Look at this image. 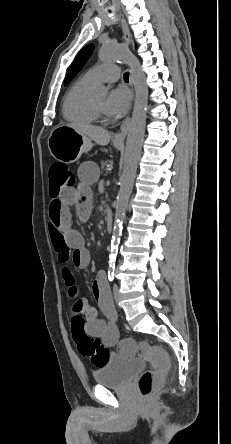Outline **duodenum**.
Returning a JSON list of instances; mask_svg holds the SVG:
<instances>
[{
  "label": "duodenum",
  "mask_w": 231,
  "mask_h": 444,
  "mask_svg": "<svg viewBox=\"0 0 231 444\" xmlns=\"http://www.w3.org/2000/svg\"><path fill=\"white\" fill-rule=\"evenodd\" d=\"M105 226H106V230L108 232H110L113 228V215L110 211H108L106 213V217H105Z\"/></svg>",
  "instance_id": "obj_1"
}]
</instances>
